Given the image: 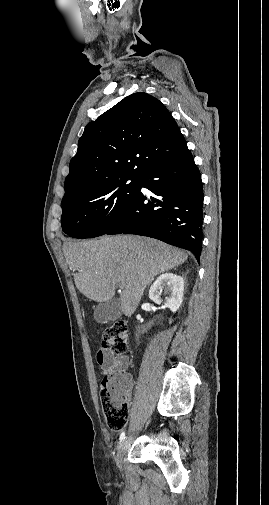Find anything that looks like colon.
<instances>
[{
  "label": "colon",
  "instance_id": "5ec220e1",
  "mask_svg": "<svg viewBox=\"0 0 269 505\" xmlns=\"http://www.w3.org/2000/svg\"><path fill=\"white\" fill-rule=\"evenodd\" d=\"M102 346L114 356H123L128 348V327L117 321L103 332ZM130 380L125 375H111L101 381L100 400L108 427L113 431L124 428L128 418Z\"/></svg>",
  "mask_w": 269,
  "mask_h": 505
}]
</instances>
